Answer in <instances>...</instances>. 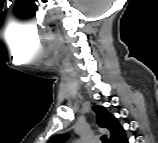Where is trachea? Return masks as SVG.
<instances>
[{
    "instance_id": "trachea-1",
    "label": "trachea",
    "mask_w": 158,
    "mask_h": 143,
    "mask_svg": "<svg viewBox=\"0 0 158 143\" xmlns=\"http://www.w3.org/2000/svg\"><path fill=\"white\" fill-rule=\"evenodd\" d=\"M101 139H102V142H103V143H107V138H106V136H102Z\"/></svg>"
}]
</instances>
